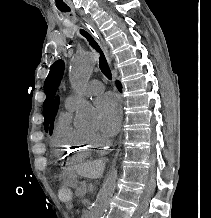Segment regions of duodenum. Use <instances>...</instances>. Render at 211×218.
I'll return each mask as SVG.
<instances>
[{
    "mask_svg": "<svg viewBox=\"0 0 211 218\" xmlns=\"http://www.w3.org/2000/svg\"><path fill=\"white\" fill-rule=\"evenodd\" d=\"M82 217L83 218H90V211L87 209L83 210Z\"/></svg>",
    "mask_w": 211,
    "mask_h": 218,
    "instance_id": "obj_1",
    "label": "duodenum"
}]
</instances>
